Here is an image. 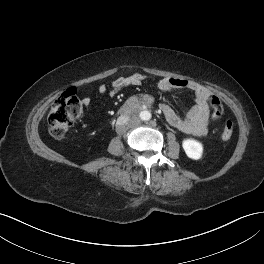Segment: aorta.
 <instances>
[{"instance_id":"obj_1","label":"aorta","mask_w":264,"mask_h":264,"mask_svg":"<svg viewBox=\"0 0 264 264\" xmlns=\"http://www.w3.org/2000/svg\"><path fill=\"white\" fill-rule=\"evenodd\" d=\"M152 117L151 113L148 110H143L137 115V119L141 121H148Z\"/></svg>"}]
</instances>
